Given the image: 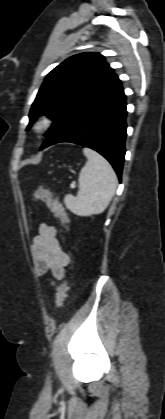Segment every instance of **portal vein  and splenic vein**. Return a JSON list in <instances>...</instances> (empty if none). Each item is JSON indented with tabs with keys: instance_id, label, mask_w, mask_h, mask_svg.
I'll list each match as a JSON object with an SVG mask.
<instances>
[{
	"instance_id": "obj_1",
	"label": "portal vein and splenic vein",
	"mask_w": 165,
	"mask_h": 419,
	"mask_svg": "<svg viewBox=\"0 0 165 419\" xmlns=\"http://www.w3.org/2000/svg\"><path fill=\"white\" fill-rule=\"evenodd\" d=\"M70 186H71V188H74L75 187V185L73 183Z\"/></svg>"
}]
</instances>
